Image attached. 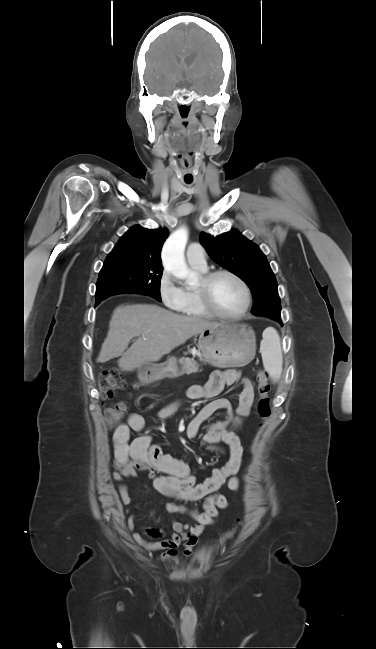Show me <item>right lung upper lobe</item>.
I'll list each match as a JSON object with an SVG mask.
<instances>
[{
  "label": "right lung upper lobe",
  "instance_id": "cb5924a9",
  "mask_svg": "<svg viewBox=\"0 0 376 649\" xmlns=\"http://www.w3.org/2000/svg\"><path fill=\"white\" fill-rule=\"evenodd\" d=\"M168 234L166 229L150 230L135 225L120 238L108 256H136L151 261L155 267H161L160 253Z\"/></svg>",
  "mask_w": 376,
  "mask_h": 649
}]
</instances>
